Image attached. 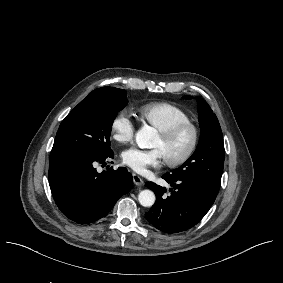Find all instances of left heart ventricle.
Returning a JSON list of instances; mask_svg holds the SVG:
<instances>
[{"instance_id":"obj_1","label":"left heart ventricle","mask_w":283,"mask_h":283,"mask_svg":"<svg viewBox=\"0 0 283 283\" xmlns=\"http://www.w3.org/2000/svg\"><path fill=\"white\" fill-rule=\"evenodd\" d=\"M192 139L191 132L185 130L180 133L172 142L165 143L160 137L156 140L154 147L159 149L164 159L180 157L190 146Z\"/></svg>"}]
</instances>
